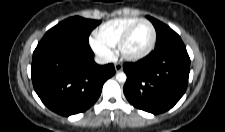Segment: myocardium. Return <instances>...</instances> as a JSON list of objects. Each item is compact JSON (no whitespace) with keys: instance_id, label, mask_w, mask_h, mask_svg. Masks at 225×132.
Segmentation results:
<instances>
[{"instance_id":"obj_1","label":"myocardium","mask_w":225,"mask_h":132,"mask_svg":"<svg viewBox=\"0 0 225 132\" xmlns=\"http://www.w3.org/2000/svg\"><path fill=\"white\" fill-rule=\"evenodd\" d=\"M140 23H146L151 27L152 30V38L151 41L149 43V45L140 53H136V54H130L127 53L125 50V45L128 41V39L130 38L133 30L135 29V27L140 24ZM156 29L154 27V25L148 20V19H138L136 20L134 23H132L122 34L118 44H117V50L120 54V56L128 61H138L141 60L143 58H145L154 48L155 43H156Z\"/></svg>"}]
</instances>
